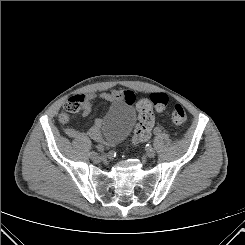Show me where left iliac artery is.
Returning <instances> with one entry per match:
<instances>
[{"label":"left iliac artery","instance_id":"44dca946","mask_svg":"<svg viewBox=\"0 0 245 245\" xmlns=\"http://www.w3.org/2000/svg\"><path fill=\"white\" fill-rule=\"evenodd\" d=\"M154 131H155L156 134L159 135V134L162 133L163 130H162V128L160 126H157Z\"/></svg>","mask_w":245,"mask_h":245}]
</instances>
